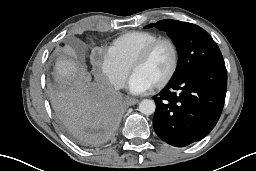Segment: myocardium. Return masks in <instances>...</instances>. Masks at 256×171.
I'll return each instance as SVG.
<instances>
[{
  "mask_svg": "<svg viewBox=\"0 0 256 171\" xmlns=\"http://www.w3.org/2000/svg\"><path fill=\"white\" fill-rule=\"evenodd\" d=\"M168 44L172 50V66L168 74L157 84L153 85V89H162L165 87L175 76L178 65H179V51L175 44V42L169 38H158L154 40L153 42L149 43L147 46H145L132 60L130 64V70L133 72L134 68L143 62H145L149 56L152 54V52L155 50L157 46L160 44Z\"/></svg>",
  "mask_w": 256,
  "mask_h": 171,
  "instance_id": "obj_1",
  "label": "myocardium"
}]
</instances>
